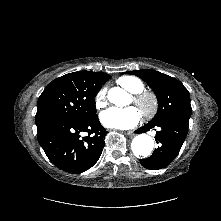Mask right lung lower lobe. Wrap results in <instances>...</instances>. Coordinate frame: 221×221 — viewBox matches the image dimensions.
I'll return each instance as SVG.
<instances>
[{
    "label": "right lung lower lobe",
    "mask_w": 221,
    "mask_h": 221,
    "mask_svg": "<svg viewBox=\"0 0 221 221\" xmlns=\"http://www.w3.org/2000/svg\"><path fill=\"white\" fill-rule=\"evenodd\" d=\"M88 133L81 137V133ZM106 129L98 116L88 120H57L37 127V138L49 160L59 169L78 174L100 158Z\"/></svg>",
    "instance_id": "98d812e1"
}]
</instances>
